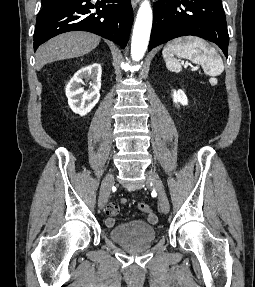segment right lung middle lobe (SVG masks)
Returning <instances> with one entry per match:
<instances>
[{
    "instance_id": "1",
    "label": "right lung middle lobe",
    "mask_w": 255,
    "mask_h": 287,
    "mask_svg": "<svg viewBox=\"0 0 255 287\" xmlns=\"http://www.w3.org/2000/svg\"><path fill=\"white\" fill-rule=\"evenodd\" d=\"M52 1H55V0H41L42 5L48 4V3L52 2Z\"/></svg>"
}]
</instances>
